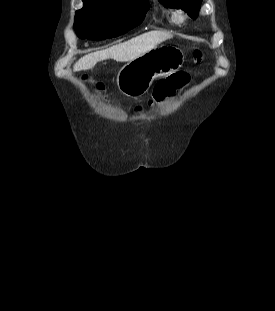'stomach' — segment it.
Listing matches in <instances>:
<instances>
[{"label": "stomach", "instance_id": "1", "mask_svg": "<svg viewBox=\"0 0 275 311\" xmlns=\"http://www.w3.org/2000/svg\"><path fill=\"white\" fill-rule=\"evenodd\" d=\"M184 63V53L174 46H160L126 63L118 72V89L130 97L143 95L153 80L178 71Z\"/></svg>", "mask_w": 275, "mask_h": 311}]
</instances>
